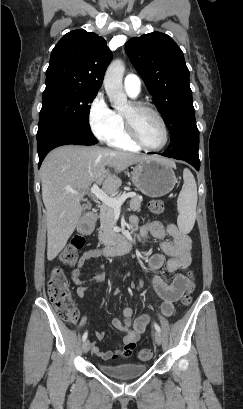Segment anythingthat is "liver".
Listing matches in <instances>:
<instances>
[{
	"label": "liver",
	"instance_id": "6515ba94",
	"mask_svg": "<svg viewBox=\"0 0 243 409\" xmlns=\"http://www.w3.org/2000/svg\"><path fill=\"white\" fill-rule=\"evenodd\" d=\"M148 158L150 156L99 146L78 145L58 147L46 156L40 172L49 261L62 251L79 223L83 211L80 202L89 187L93 183L99 184L105 193L112 194L122 183L116 174Z\"/></svg>",
	"mask_w": 243,
	"mask_h": 409
}]
</instances>
